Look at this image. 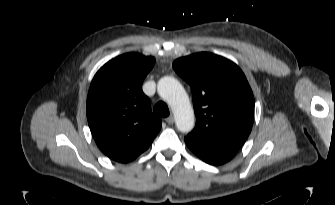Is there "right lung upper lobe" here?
<instances>
[{
    "mask_svg": "<svg viewBox=\"0 0 335 205\" xmlns=\"http://www.w3.org/2000/svg\"><path fill=\"white\" fill-rule=\"evenodd\" d=\"M154 64L151 56L123 54L103 65L91 82L86 104L90 130L100 150L115 161L134 160L161 129L142 91Z\"/></svg>",
    "mask_w": 335,
    "mask_h": 205,
    "instance_id": "1",
    "label": "right lung upper lobe"
}]
</instances>
